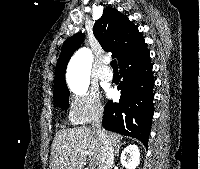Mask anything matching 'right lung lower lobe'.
<instances>
[{"instance_id":"1","label":"right lung lower lobe","mask_w":200,"mask_h":169,"mask_svg":"<svg viewBox=\"0 0 200 169\" xmlns=\"http://www.w3.org/2000/svg\"><path fill=\"white\" fill-rule=\"evenodd\" d=\"M123 81L119 102L108 101L102 125L110 131L139 139L145 146L151 131L154 77L149 51L120 67Z\"/></svg>"}]
</instances>
